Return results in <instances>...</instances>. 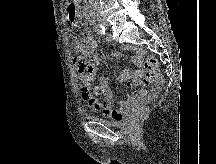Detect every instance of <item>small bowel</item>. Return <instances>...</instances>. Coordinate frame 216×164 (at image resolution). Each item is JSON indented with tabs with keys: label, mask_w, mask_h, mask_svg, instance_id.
<instances>
[{
	"label": "small bowel",
	"mask_w": 216,
	"mask_h": 164,
	"mask_svg": "<svg viewBox=\"0 0 216 164\" xmlns=\"http://www.w3.org/2000/svg\"><path fill=\"white\" fill-rule=\"evenodd\" d=\"M73 47L77 53L82 55L77 57L75 60L77 67L79 63L83 61V57H89L88 64H90L94 69L97 68L100 63V56L96 51L97 43L90 30H84L83 41L74 40ZM134 62L136 63V68L134 70H124L120 73L119 79L121 82H126L130 79L137 81V79L143 75L144 71L140 54H136L134 56ZM79 76L82 80V99L92 109L103 113V115L109 119L122 120L127 117L146 94V91L141 89L129 95L125 103L114 107L113 95L111 90L108 88L107 80L105 78H101L99 85L91 86L90 77L88 75H84L80 71ZM99 95H103L105 97L104 102H99L96 99V96Z\"/></svg>",
	"instance_id": "small-bowel-1"
}]
</instances>
